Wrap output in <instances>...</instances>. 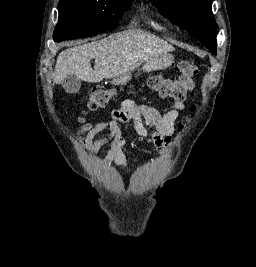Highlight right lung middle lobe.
Returning a JSON list of instances; mask_svg holds the SVG:
<instances>
[{"label": "right lung middle lobe", "mask_w": 256, "mask_h": 267, "mask_svg": "<svg viewBox=\"0 0 256 267\" xmlns=\"http://www.w3.org/2000/svg\"><path fill=\"white\" fill-rule=\"evenodd\" d=\"M130 5L131 0H60L54 41L113 30Z\"/></svg>", "instance_id": "obj_1"}]
</instances>
